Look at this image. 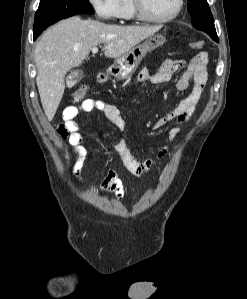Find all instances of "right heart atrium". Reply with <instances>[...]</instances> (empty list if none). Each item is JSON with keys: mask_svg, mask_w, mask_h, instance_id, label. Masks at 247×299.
<instances>
[{"mask_svg": "<svg viewBox=\"0 0 247 299\" xmlns=\"http://www.w3.org/2000/svg\"><path fill=\"white\" fill-rule=\"evenodd\" d=\"M96 16L101 20H113L118 17L119 0H88Z\"/></svg>", "mask_w": 247, "mask_h": 299, "instance_id": "right-heart-atrium-1", "label": "right heart atrium"}]
</instances>
